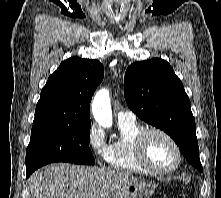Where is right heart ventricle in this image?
Masks as SVG:
<instances>
[{"mask_svg":"<svg viewBox=\"0 0 221 198\" xmlns=\"http://www.w3.org/2000/svg\"><path fill=\"white\" fill-rule=\"evenodd\" d=\"M118 126L119 136L109 145L108 164L120 171L148 173L135 154V139L144 128L135 120L119 122Z\"/></svg>","mask_w":221,"mask_h":198,"instance_id":"right-heart-ventricle-1","label":"right heart ventricle"}]
</instances>
